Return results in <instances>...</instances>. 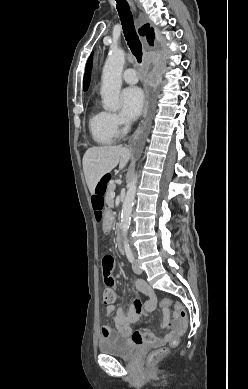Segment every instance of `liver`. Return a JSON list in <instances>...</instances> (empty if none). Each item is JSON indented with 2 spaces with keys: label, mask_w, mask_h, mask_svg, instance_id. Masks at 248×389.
Segmentation results:
<instances>
[{
  "label": "liver",
  "mask_w": 248,
  "mask_h": 389,
  "mask_svg": "<svg viewBox=\"0 0 248 389\" xmlns=\"http://www.w3.org/2000/svg\"><path fill=\"white\" fill-rule=\"evenodd\" d=\"M132 156L130 149L122 146H100L89 148L83 156V171L91 194L101 177L117 165L123 169Z\"/></svg>",
  "instance_id": "1"
}]
</instances>
